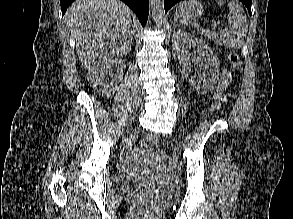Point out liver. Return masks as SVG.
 I'll list each match as a JSON object with an SVG mask.
<instances>
[{
    "mask_svg": "<svg viewBox=\"0 0 293 219\" xmlns=\"http://www.w3.org/2000/svg\"><path fill=\"white\" fill-rule=\"evenodd\" d=\"M64 21L86 69L96 57H119L131 50V10L119 0H76Z\"/></svg>",
    "mask_w": 293,
    "mask_h": 219,
    "instance_id": "6515ba94",
    "label": "liver"
}]
</instances>
